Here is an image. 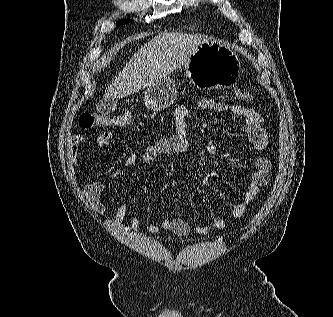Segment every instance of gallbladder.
<instances>
[{"label": "gallbladder", "instance_id": "1", "mask_svg": "<svg viewBox=\"0 0 333 317\" xmlns=\"http://www.w3.org/2000/svg\"><path fill=\"white\" fill-rule=\"evenodd\" d=\"M117 102V99H104L97 104L96 109L102 115H109L116 109Z\"/></svg>", "mask_w": 333, "mask_h": 317}]
</instances>
